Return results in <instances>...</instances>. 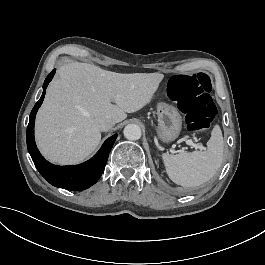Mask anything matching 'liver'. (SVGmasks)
<instances>
[{"instance_id":"6515ba94","label":"liver","mask_w":265,"mask_h":265,"mask_svg":"<svg viewBox=\"0 0 265 265\" xmlns=\"http://www.w3.org/2000/svg\"><path fill=\"white\" fill-rule=\"evenodd\" d=\"M163 78L160 73L121 74L88 63L62 65L36 116L41 154L60 165L83 161L100 144L97 119L125 120L126 113L150 102Z\"/></svg>"}]
</instances>
